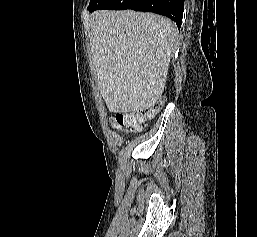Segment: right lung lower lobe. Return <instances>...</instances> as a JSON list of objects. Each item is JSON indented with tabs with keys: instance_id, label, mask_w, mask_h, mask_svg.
<instances>
[{
	"instance_id": "obj_1",
	"label": "right lung lower lobe",
	"mask_w": 257,
	"mask_h": 237,
	"mask_svg": "<svg viewBox=\"0 0 257 237\" xmlns=\"http://www.w3.org/2000/svg\"><path fill=\"white\" fill-rule=\"evenodd\" d=\"M90 11L97 9L123 10L132 9L135 11H148L164 15L180 28L182 23L184 0H109L99 8L88 7Z\"/></svg>"
}]
</instances>
